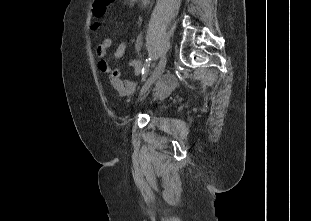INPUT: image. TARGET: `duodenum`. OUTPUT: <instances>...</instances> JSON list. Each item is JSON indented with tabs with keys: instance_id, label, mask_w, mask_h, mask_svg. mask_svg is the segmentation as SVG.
Returning <instances> with one entry per match:
<instances>
[{
	"instance_id": "410a0bca",
	"label": "duodenum",
	"mask_w": 311,
	"mask_h": 221,
	"mask_svg": "<svg viewBox=\"0 0 311 221\" xmlns=\"http://www.w3.org/2000/svg\"><path fill=\"white\" fill-rule=\"evenodd\" d=\"M150 0H141V2L143 3V4H146V3H148Z\"/></svg>"
}]
</instances>
